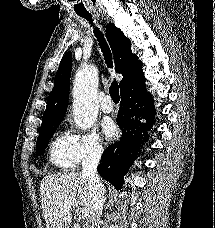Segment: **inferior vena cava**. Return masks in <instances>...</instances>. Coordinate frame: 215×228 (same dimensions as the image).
Wrapping results in <instances>:
<instances>
[{
  "mask_svg": "<svg viewBox=\"0 0 215 228\" xmlns=\"http://www.w3.org/2000/svg\"><path fill=\"white\" fill-rule=\"evenodd\" d=\"M103 154L102 146H94L91 152L82 160L81 176L88 180L92 192L93 214L89 220L90 228H99V218L102 216L103 204L105 202L104 184H101L97 174V166Z\"/></svg>",
  "mask_w": 215,
  "mask_h": 228,
  "instance_id": "obj_1",
  "label": "inferior vena cava"
}]
</instances>
